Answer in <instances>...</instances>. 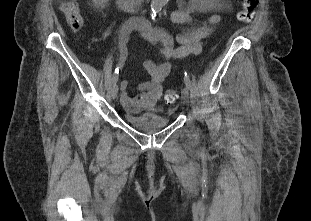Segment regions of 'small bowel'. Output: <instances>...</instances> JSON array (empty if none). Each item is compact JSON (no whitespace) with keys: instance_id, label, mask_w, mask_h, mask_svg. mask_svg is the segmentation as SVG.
<instances>
[{"instance_id":"small-bowel-1","label":"small bowel","mask_w":311,"mask_h":221,"mask_svg":"<svg viewBox=\"0 0 311 221\" xmlns=\"http://www.w3.org/2000/svg\"><path fill=\"white\" fill-rule=\"evenodd\" d=\"M193 11V6L180 5L179 8L169 15V20L172 23L188 26V29L184 33L175 38L161 30L153 28L151 23L146 27L139 28L144 40L153 46H157L160 57L165 59V61L154 63L147 60L143 63V67L149 74L150 80L141 82L138 85L141 94L136 97H131L128 94V81L123 80L120 82L121 100L131 112L136 113L142 108L156 107L162 95L163 82L172 69L171 61L182 59L189 55L200 54L202 51V40L220 23V16L211 15L202 24H196L192 17ZM106 18L107 12H104L103 19L105 20ZM134 28L132 23L121 30L119 51L122 62L127 57L126 41L128 34ZM175 42L179 45L175 46Z\"/></svg>"}]
</instances>
